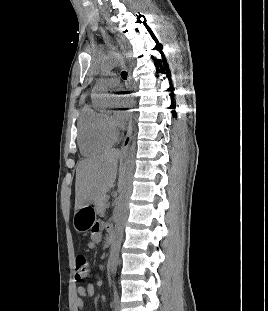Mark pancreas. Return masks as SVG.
Segmentation results:
<instances>
[{"label":"pancreas","instance_id":"1","mask_svg":"<svg viewBox=\"0 0 268 311\" xmlns=\"http://www.w3.org/2000/svg\"><path fill=\"white\" fill-rule=\"evenodd\" d=\"M94 204L96 213L102 215L104 214L105 208L107 207L108 199L105 196H102L98 198Z\"/></svg>","mask_w":268,"mask_h":311}]
</instances>
